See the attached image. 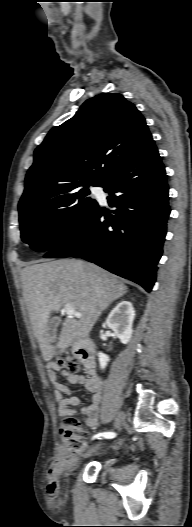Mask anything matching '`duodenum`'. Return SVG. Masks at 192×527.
<instances>
[{
  "label": "duodenum",
  "instance_id": "410a0bca",
  "mask_svg": "<svg viewBox=\"0 0 192 527\" xmlns=\"http://www.w3.org/2000/svg\"><path fill=\"white\" fill-rule=\"evenodd\" d=\"M75 353L84 362L86 368L93 372L95 369V345L91 339L83 338L75 344Z\"/></svg>",
  "mask_w": 192,
  "mask_h": 527
}]
</instances>
